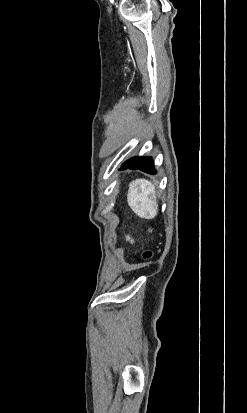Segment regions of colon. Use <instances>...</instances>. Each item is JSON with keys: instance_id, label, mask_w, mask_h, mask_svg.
<instances>
[{"instance_id": "colon-1", "label": "colon", "mask_w": 247, "mask_h": 413, "mask_svg": "<svg viewBox=\"0 0 247 413\" xmlns=\"http://www.w3.org/2000/svg\"><path fill=\"white\" fill-rule=\"evenodd\" d=\"M152 256H153V252H152V251H149V250L143 251V252L141 253V258H142V260H144L145 262L150 261V260L152 259Z\"/></svg>"}]
</instances>
